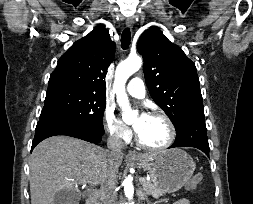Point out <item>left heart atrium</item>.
Listing matches in <instances>:
<instances>
[{
  "instance_id": "39dd6f15",
  "label": "left heart atrium",
  "mask_w": 253,
  "mask_h": 204,
  "mask_svg": "<svg viewBox=\"0 0 253 204\" xmlns=\"http://www.w3.org/2000/svg\"><path fill=\"white\" fill-rule=\"evenodd\" d=\"M148 115L143 113L140 115V121H143ZM135 129L137 130L138 129V126H135Z\"/></svg>"
}]
</instances>
